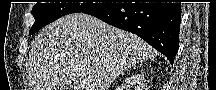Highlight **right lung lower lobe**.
<instances>
[{"mask_svg": "<svg viewBox=\"0 0 216 90\" xmlns=\"http://www.w3.org/2000/svg\"><path fill=\"white\" fill-rule=\"evenodd\" d=\"M86 14L138 35L173 64L179 48L181 3H108Z\"/></svg>", "mask_w": 216, "mask_h": 90, "instance_id": "obj_1", "label": "right lung lower lobe"}]
</instances>
